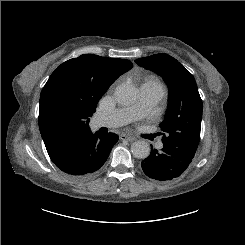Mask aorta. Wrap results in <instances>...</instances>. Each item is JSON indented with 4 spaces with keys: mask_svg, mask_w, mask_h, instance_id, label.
Segmentation results:
<instances>
[{
    "mask_svg": "<svg viewBox=\"0 0 245 245\" xmlns=\"http://www.w3.org/2000/svg\"><path fill=\"white\" fill-rule=\"evenodd\" d=\"M114 95L118 103L130 105L136 101L138 92L132 85L120 84L116 87ZM131 152L135 158L145 159L150 155V146L145 141H135L131 145Z\"/></svg>",
    "mask_w": 245,
    "mask_h": 245,
    "instance_id": "1",
    "label": "aorta"
}]
</instances>
